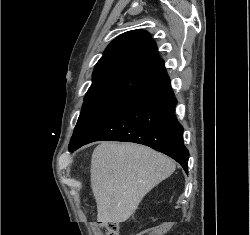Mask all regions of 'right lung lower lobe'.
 Segmentation results:
<instances>
[{
  "label": "right lung lower lobe",
  "instance_id": "98d812e1",
  "mask_svg": "<svg viewBox=\"0 0 250 235\" xmlns=\"http://www.w3.org/2000/svg\"><path fill=\"white\" fill-rule=\"evenodd\" d=\"M176 103L170 79L164 72L133 94L78 142L69 145V151L99 140L134 142L168 155L187 173L189 152L183 144V127L175 115Z\"/></svg>",
  "mask_w": 250,
  "mask_h": 235
}]
</instances>
